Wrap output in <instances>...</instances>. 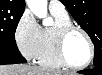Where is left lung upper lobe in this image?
<instances>
[{
	"label": "left lung upper lobe",
	"instance_id": "left-lung-upper-lobe-1",
	"mask_svg": "<svg viewBox=\"0 0 102 75\" xmlns=\"http://www.w3.org/2000/svg\"><path fill=\"white\" fill-rule=\"evenodd\" d=\"M95 46L94 65L102 64V0H60Z\"/></svg>",
	"mask_w": 102,
	"mask_h": 75
}]
</instances>
